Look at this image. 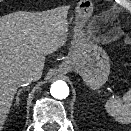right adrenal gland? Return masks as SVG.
Returning a JSON list of instances; mask_svg holds the SVG:
<instances>
[{
    "label": "right adrenal gland",
    "instance_id": "right-adrenal-gland-1",
    "mask_svg": "<svg viewBox=\"0 0 131 131\" xmlns=\"http://www.w3.org/2000/svg\"><path fill=\"white\" fill-rule=\"evenodd\" d=\"M23 90H24V89H19V91L17 92L16 97H15L16 101H15L14 105H19V101H20L19 96H20V94H21V92H22Z\"/></svg>",
    "mask_w": 131,
    "mask_h": 131
}]
</instances>
